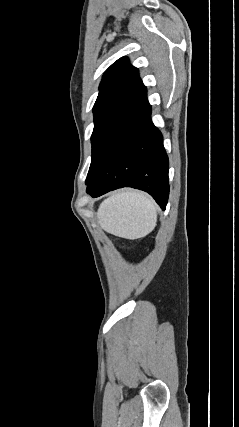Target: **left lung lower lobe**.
Instances as JSON below:
<instances>
[{
    "label": "left lung lower lobe",
    "mask_w": 239,
    "mask_h": 427,
    "mask_svg": "<svg viewBox=\"0 0 239 427\" xmlns=\"http://www.w3.org/2000/svg\"><path fill=\"white\" fill-rule=\"evenodd\" d=\"M169 162L163 137L151 121L149 103L113 136L87 181L92 197L121 187L148 192L164 210L169 196Z\"/></svg>",
    "instance_id": "0a47b994"
}]
</instances>
